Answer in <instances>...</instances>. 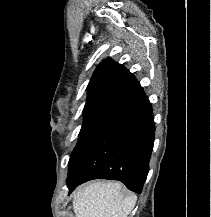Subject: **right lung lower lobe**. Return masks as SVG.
I'll use <instances>...</instances> for the list:
<instances>
[{
	"mask_svg": "<svg viewBox=\"0 0 211 217\" xmlns=\"http://www.w3.org/2000/svg\"><path fill=\"white\" fill-rule=\"evenodd\" d=\"M155 123L145 97L115 118L96 138L67 178L71 193L93 179L119 180L140 193L149 171Z\"/></svg>",
	"mask_w": 211,
	"mask_h": 217,
	"instance_id": "98d812e1",
	"label": "right lung lower lobe"
}]
</instances>
